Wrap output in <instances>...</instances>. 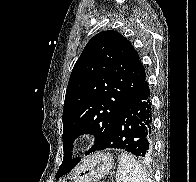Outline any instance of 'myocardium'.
<instances>
[{
    "label": "myocardium",
    "mask_w": 196,
    "mask_h": 182,
    "mask_svg": "<svg viewBox=\"0 0 196 182\" xmlns=\"http://www.w3.org/2000/svg\"><path fill=\"white\" fill-rule=\"evenodd\" d=\"M90 141V136L86 133H80L76 135L71 143V147L74 151H82L84 150Z\"/></svg>",
    "instance_id": "obj_1"
}]
</instances>
